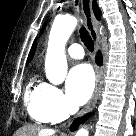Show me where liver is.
<instances>
[{
  "instance_id": "obj_1",
  "label": "liver",
  "mask_w": 136,
  "mask_h": 136,
  "mask_svg": "<svg viewBox=\"0 0 136 136\" xmlns=\"http://www.w3.org/2000/svg\"><path fill=\"white\" fill-rule=\"evenodd\" d=\"M55 133L52 129H44L40 125H25L20 128L14 136H52Z\"/></svg>"
}]
</instances>
